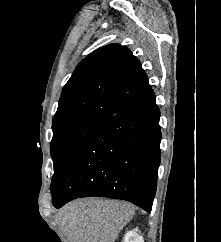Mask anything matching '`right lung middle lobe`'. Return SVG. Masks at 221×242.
Wrapping results in <instances>:
<instances>
[{
  "instance_id": "right-lung-middle-lobe-1",
  "label": "right lung middle lobe",
  "mask_w": 221,
  "mask_h": 242,
  "mask_svg": "<svg viewBox=\"0 0 221 242\" xmlns=\"http://www.w3.org/2000/svg\"><path fill=\"white\" fill-rule=\"evenodd\" d=\"M100 123L101 121L84 120L53 129L50 152L54 162V175L51 189L56 185L72 155Z\"/></svg>"
}]
</instances>
